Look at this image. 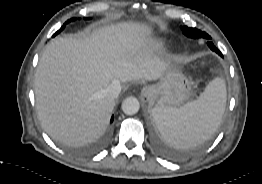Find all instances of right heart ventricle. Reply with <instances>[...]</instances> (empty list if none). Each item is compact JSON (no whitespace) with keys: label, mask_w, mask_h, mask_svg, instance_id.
<instances>
[{"label":"right heart ventricle","mask_w":262,"mask_h":184,"mask_svg":"<svg viewBox=\"0 0 262 184\" xmlns=\"http://www.w3.org/2000/svg\"><path fill=\"white\" fill-rule=\"evenodd\" d=\"M163 46H164V42L163 41H155V42H153L151 44V47L153 49H161V48H163Z\"/></svg>","instance_id":"1"}]
</instances>
